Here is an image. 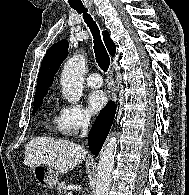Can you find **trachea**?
Here are the masks:
<instances>
[{
    "mask_svg": "<svg viewBox=\"0 0 189 195\" xmlns=\"http://www.w3.org/2000/svg\"><path fill=\"white\" fill-rule=\"evenodd\" d=\"M75 9L79 14H83V18L89 27L93 38H94V53L96 61L99 65V67L104 71L107 72L109 66H110V57L107 53V50L105 46L102 43L100 31L95 21H93V18L91 15H89L87 8H73Z\"/></svg>",
    "mask_w": 189,
    "mask_h": 195,
    "instance_id": "obj_1",
    "label": "trachea"
}]
</instances>
